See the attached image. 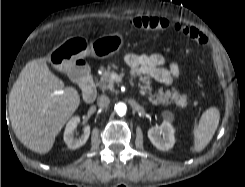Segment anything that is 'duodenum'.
Segmentation results:
<instances>
[{
	"label": "duodenum",
	"instance_id": "410a0bca",
	"mask_svg": "<svg viewBox=\"0 0 245 187\" xmlns=\"http://www.w3.org/2000/svg\"><path fill=\"white\" fill-rule=\"evenodd\" d=\"M72 74L76 76L82 84L84 100L86 102L93 101L97 95V91L87 65L85 63H77L72 69Z\"/></svg>",
	"mask_w": 245,
	"mask_h": 187
}]
</instances>
